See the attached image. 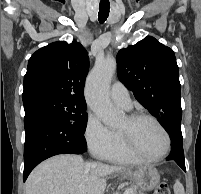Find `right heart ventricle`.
I'll list each match as a JSON object with an SVG mask.
<instances>
[{
    "label": "right heart ventricle",
    "instance_id": "1",
    "mask_svg": "<svg viewBox=\"0 0 201 194\" xmlns=\"http://www.w3.org/2000/svg\"><path fill=\"white\" fill-rule=\"evenodd\" d=\"M115 144L110 152L104 157V159L120 164L136 163L140 160L134 157L131 153L127 151L123 143V139L119 131L115 132Z\"/></svg>",
    "mask_w": 201,
    "mask_h": 194
}]
</instances>
